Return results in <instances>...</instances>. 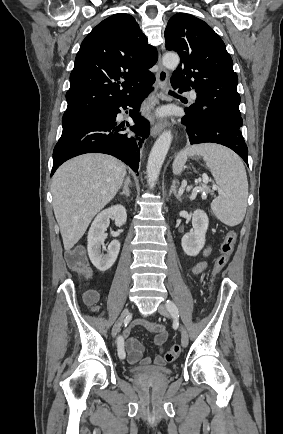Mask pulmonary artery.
I'll use <instances>...</instances> for the list:
<instances>
[{"instance_id":"pulmonary-artery-1","label":"pulmonary artery","mask_w":283,"mask_h":434,"mask_svg":"<svg viewBox=\"0 0 283 434\" xmlns=\"http://www.w3.org/2000/svg\"><path fill=\"white\" fill-rule=\"evenodd\" d=\"M189 95H190V97L193 98V99L196 98V92H195L194 90L190 91V92H189Z\"/></svg>"}]
</instances>
